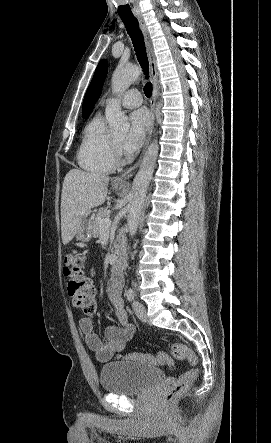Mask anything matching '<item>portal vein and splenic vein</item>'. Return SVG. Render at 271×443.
<instances>
[{"label": "portal vein and splenic vein", "instance_id": "1", "mask_svg": "<svg viewBox=\"0 0 271 443\" xmlns=\"http://www.w3.org/2000/svg\"><path fill=\"white\" fill-rule=\"evenodd\" d=\"M100 225L105 227V229H108V227L111 225V220H109V218H104V220H100Z\"/></svg>", "mask_w": 271, "mask_h": 443}]
</instances>
